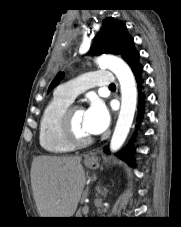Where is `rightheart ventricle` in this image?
I'll return each instance as SVG.
<instances>
[{"mask_svg": "<svg viewBox=\"0 0 181 227\" xmlns=\"http://www.w3.org/2000/svg\"><path fill=\"white\" fill-rule=\"evenodd\" d=\"M71 103L72 101L55 93L42 112L39 123V142L49 153L61 154L74 149L61 130L62 114Z\"/></svg>", "mask_w": 181, "mask_h": 227, "instance_id": "1", "label": "right heart ventricle"}]
</instances>
